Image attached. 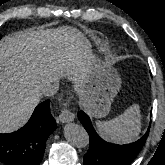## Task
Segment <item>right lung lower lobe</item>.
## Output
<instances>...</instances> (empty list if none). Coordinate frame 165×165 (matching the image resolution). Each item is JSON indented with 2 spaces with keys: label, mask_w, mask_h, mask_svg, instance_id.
I'll use <instances>...</instances> for the list:
<instances>
[{
  "label": "right lung lower lobe",
  "mask_w": 165,
  "mask_h": 165,
  "mask_svg": "<svg viewBox=\"0 0 165 165\" xmlns=\"http://www.w3.org/2000/svg\"><path fill=\"white\" fill-rule=\"evenodd\" d=\"M50 101L39 104L28 123L17 132L0 134V162L6 165H39L46 140L57 128Z\"/></svg>",
  "instance_id": "1"
}]
</instances>
